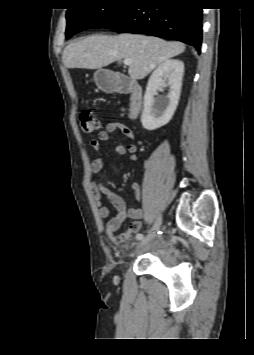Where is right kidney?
<instances>
[{"mask_svg":"<svg viewBox=\"0 0 254 355\" xmlns=\"http://www.w3.org/2000/svg\"><path fill=\"white\" fill-rule=\"evenodd\" d=\"M184 63L177 59L162 62L149 78L144 95V109L141 115L142 126L149 131L166 125L172 118L180 98ZM166 82L169 93L158 96L157 90Z\"/></svg>","mask_w":254,"mask_h":355,"instance_id":"obj_1","label":"right kidney"}]
</instances>
